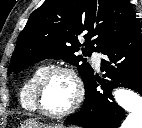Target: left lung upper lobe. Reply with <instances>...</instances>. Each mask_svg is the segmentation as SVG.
I'll use <instances>...</instances> for the list:
<instances>
[{"mask_svg":"<svg viewBox=\"0 0 142 128\" xmlns=\"http://www.w3.org/2000/svg\"><path fill=\"white\" fill-rule=\"evenodd\" d=\"M136 26L128 0H46L32 12L20 33L8 72L21 71L47 58L63 59L77 66L86 86L94 71L85 58L74 54L82 46L79 35L86 40L84 55L90 56Z\"/></svg>","mask_w":142,"mask_h":128,"instance_id":"1","label":"left lung upper lobe"}]
</instances>
